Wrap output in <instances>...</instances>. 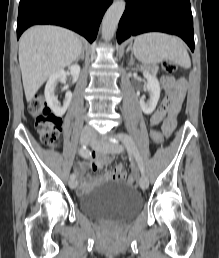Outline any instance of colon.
Instances as JSON below:
<instances>
[{
  "label": "colon",
  "instance_id": "1",
  "mask_svg": "<svg viewBox=\"0 0 219 258\" xmlns=\"http://www.w3.org/2000/svg\"><path fill=\"white\" fill-rule=\"evenodd\" d=\"M162 67L167 73H174L177 70L176 64L172 61L163 62ZM29 113L34 120L36 131L43 143L47 146H54L61 133V118L50 111L45 99L40 95L34 96L31 100L29 104ZM150 136L155 146H160L163 143V134L158 126H152ZM136 182V176H129V185L135 186Z\"/></svg>",
  "mask_w": 219,
  "mask_h": 258
}]
</instances>
